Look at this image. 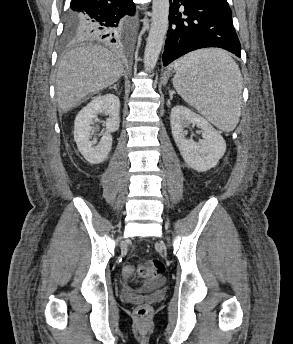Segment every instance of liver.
I'll return each instance as SVG.
<instances>
[{
    "mask_svg": "<svg viewBox=\"0 0 293 344\" xmlns=\"http://www.w3.org/2000/svg\"><path fill=\"white\" fill-rule=\"evenodd\" d=\"M124 65L120 57L98 45H88L69 51L61 60L56 93L58 108L67 112L89 95L113 85L122 76Z\"/></svg>",
    "mask_w": 293,
    "mask_h": 344,
    "instance_id": "liver-1",
    "label": "liver"
}]
</instances>
